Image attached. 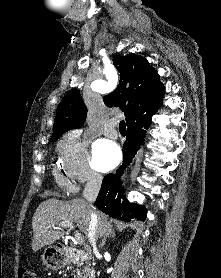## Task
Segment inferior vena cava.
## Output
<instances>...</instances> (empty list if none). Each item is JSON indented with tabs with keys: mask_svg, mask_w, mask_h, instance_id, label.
I'll use <instances>...</instances> for the list:
<instances>
[{
	"mask_svg": "<svg viewBox=\"0 0 221 278\" xmlns=\"http://www.w3.org/2000/svg\"><path fill=\"white\" fill-rule=\"evenodd\" d=\"M101 183H102V176L97 172L91 171L89 173L88 181L83 192L84 198L89 202L91 206L98 196ZM97 222H98L97 215L92 211L90 213L88 237L93 247L95 246Z\"/></svg>",
	"mask_w": 221,
	"mask_h": 278,
	"instance_id": "inferior-vena-cava-1",
	"label": "inferior vena cava"
}]
</instances>
